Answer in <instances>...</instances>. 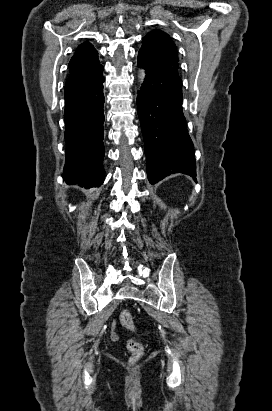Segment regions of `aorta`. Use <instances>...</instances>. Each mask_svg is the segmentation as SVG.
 Returning <instances> with one entry per match:
<instances>
[{
  "instance_id": "1",
  "label": "aorta",
  "mask_w": 272,
  "mask_h": 411,
  "mask_svg": "<svg viewBox=\"0 0 272 411\" xmlns=\"http://www.w3.org/2000/svg\"><path fill=\"white\" fill-rule=\"evenodd\" d=\"M139 77H140L141 80H143V78H144V71L143 70H140Z\"/></svg>"
}]
</instances>
